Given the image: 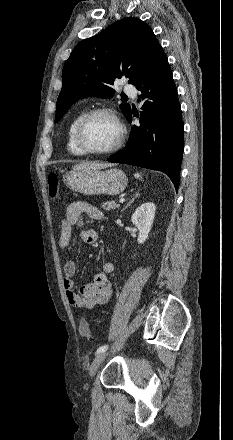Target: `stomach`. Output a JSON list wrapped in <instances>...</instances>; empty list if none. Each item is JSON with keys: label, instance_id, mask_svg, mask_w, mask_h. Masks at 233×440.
Segmentation results:
<instances>
[{"label": "stomach", "instance_id": "obj_1", "mask_svg": "<svg viewBox=\"0 0 233 440\" xmlns=\"http://www.w3.org/2000/svg\"><path fill=\"white\" fill-rule=\"evenodd\" d=\"M64 183L70 189L85 195H118L128 183L125 173L116 168L72 170L65 174Z\"/></svg>", "mask_w": 233, "mask_h": 440}]
</instances>
